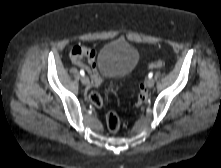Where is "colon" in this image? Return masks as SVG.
Masks as SVG:
<instances>
[{
	"mask_svg": "<svg viewBox=\"0 0 221 168\" xmlns=\"http://www.w3.org/2000/svg\"><path fill=\"white\" fill-rule=\"evenodd\" d=\"M164 65H165L164 61L157 60V61L151 62L149 64V67L151 69H159V68L164 67ZM89 100H90L91 104L96 108H100L103 105V99H102L101 95L97 92H92L89 96ZM146 100H147V92L145 90V86L141 85L139 88V93H138L136 105L140 106ZM106 125L110 131H112V132L117 131L121 125L119 116L113 111L108 112L106 115Z\"/></svg>",
	"mask_w": 221,
	"mask_h": 168,
	"instance_id": "1",
	"label": "colon"
}]
</instances>
